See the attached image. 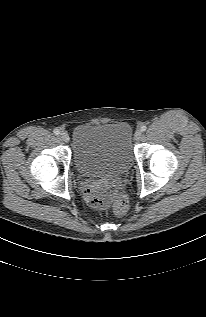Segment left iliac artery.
Returning a JSON list of instances; mask_svg holds the SVG:
<instances>
[{
  "label": "left iliac artery",
  "mask_w": 206,
  "mask_h": 317,
  "mask_svg": "<svg viewBox=\"0 0 206 317\" xmlns=\"http://www.w3.org/2000/svg\"><path fill=\"white\" fill-rule=\"evenodd\" d=\"M147 127L145 125L141 126V131L144 132L146 131Z\"/></svg>",
  "instance_id": "44dca946"
}]
</instances>
